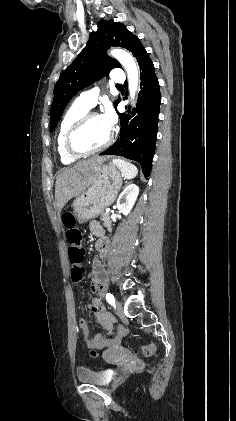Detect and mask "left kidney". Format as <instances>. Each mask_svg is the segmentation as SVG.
Instances as JSON below:
<instances>
[{
    "mask_svg": "<svg viewBox=\"0 0 236 421\" xmlns=\"http://www.w3.org/2000/svg\"><path fill=\"white\" fill-rule=\"evenodd\" d=\"M139 194L137 184H128L117 198V208L123 215H129Z\"/></svg>",
    "mask_w": 236,
    "mask_h": 421,
    "instance_id": "left-kidney-1",
    "label": "left kidney"
}]
</instances>
